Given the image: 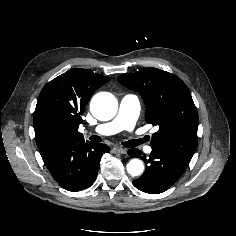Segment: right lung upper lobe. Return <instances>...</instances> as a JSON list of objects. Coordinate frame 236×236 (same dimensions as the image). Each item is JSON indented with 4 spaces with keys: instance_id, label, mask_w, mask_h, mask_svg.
<instances>
[{
    "instance_id": "right-lung-upper-lobe-1",
    "label": "right lung upper lobe",
    "mask_w": 236,
    "mask_h": 236,
    "mask_svg": "<svg viewBox=\"0 0 236 236\" xmlns=\"http://www.w3.org/2000/svg\"><path fill=\"white\" fill-rule=\"evenodd\" d=\"M109 79L78 68L47 83L40 92L33 117L38 149L69 139H84L78 132L84 107Z\"/></svg>"
}]
</instances>
